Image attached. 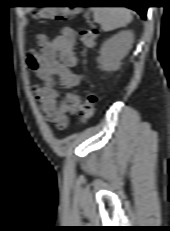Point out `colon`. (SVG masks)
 I'll list each match as a JSON object with an SVG mask.
<instances>
[{"label": "colon", "mask_w": 170, "mask_h": 231, "mask_svg": "<svg viewBox=\"0 0 170 231\" xmlns=\"http://www.w3.org/2000/svg\"><path fill=\"white\" fill-rule=\"evenodd\" d=\"M75 10L72 9H61V8H44L35 13V16L39 19L47 20H67L73 14ZM98 36V30L95 27L89 29H82L77 33L79 41L85 47H92L95 44L96 38ZM97 107V98L95 94L88 93L83 101L79 105L78 118L82 122L89 120Z\"/></svg>", "instance_id": "5ec220e1"}]
</instances>
